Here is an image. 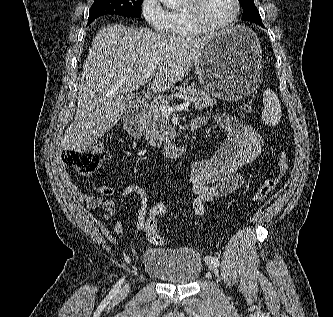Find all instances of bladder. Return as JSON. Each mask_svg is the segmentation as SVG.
Wrapping results in <instances>:
<instances>
[{
  "instance_id": "obj_1",
  "label": "bladder",
  "mask_w": 333,
  "mask_h": 317,
  "mask_svg": "<svg viewBox=\"0 0 333 317\" xmlns=\"http://www.w3.org/2000/svg\"><path fill=\"white\" fill-rule=\"evenodd\" d=\"M147 275L175 285L195 282L201 275L203 261L194 249L186 247H148L143 254Z\"/></svg>"
}]
</instances>
